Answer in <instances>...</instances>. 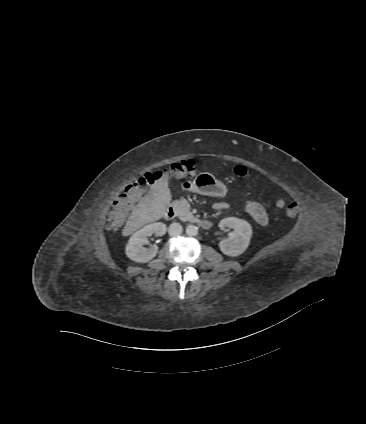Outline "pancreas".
Instances as JSON below:
<instances>
[{"label": "pancreas", "mask_w": 366, "mask_h": 424, "mask_svg": "<svg viewBox=\"0 0 366 424\" xmlns=\"http://www.w3.org/2000/svg\"><path fill=\"white\" fill-rule=\"evenodd\" d=\"M176 208L179 214V218L183 221H194L195 217L190 211V204L186 199L176 201Z\"/></svg>", "instance_id": "1"}]
</instances>
